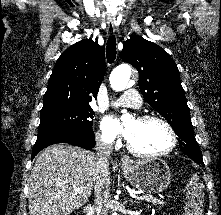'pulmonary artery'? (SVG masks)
<instances>
[{
    "label": "pulmonary artery",
    "mask_w": 221,
    "mask_h": 215,
    "mask_svg": "<svg viewBox=\"0 0 221 215\" xmlns=\"http://www.w3.org/2000/svg\"><path fill=\"white\" fill-rule=\"evenodd\" d=\"M112 105L137 109L142 105V99L135 89H128Z\"/></svg>",
    "instance_id": "obj_1"
}]
</instances>
